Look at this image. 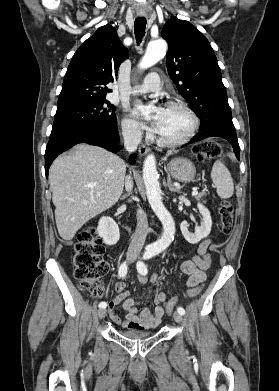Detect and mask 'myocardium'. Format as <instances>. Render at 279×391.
<instances>
[{"label": "myocardium", "mask_w": 279, "mask_h": 391, "mask_svg": "<svg viewBox=\"0 0 279 391\" xmlns=\"http://www.w3.org/2000/svg\"><path fill=\"white\" fill-rule=\"evenodd\" d=\"M174 107L183 109L189 115L191 119V127L182 138L177 140L166 139L158 133L157 134L158 141L166 147H177L187 143L193 137V135L195 134L196 130L199 127V118L197 114L186 102L182 100H173L168 102L167 108H174Z\"/></svg>", "instance_id": "obj_1"}]
</instances>
